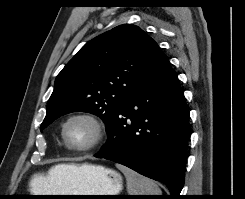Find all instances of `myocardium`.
<instances>
[{"mask_svg":"<svg viewBox=\"0 0 245 199\" xmlns=\"http://www.w3.org/2000/svg\"><path fill=\"white\" fill-rule=\"evenodd\" d=\"M75 119H84L93 125L95 130V136L92 142H90L88 145L78 147L74 146L69 142L67 137V127L70 124V122H72ZM61 134L64 144L68 149L78 153H87L93 151L104 142L106 137V129L104 123L96 115L90 112L80 111L70 114L65 119V121L62 124Z\"/></svg>","mask_w":245,"mask_h":199,"instance_id":"1","label":"myocardium"}]
</instances>
